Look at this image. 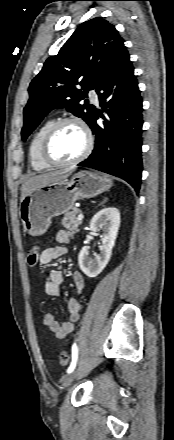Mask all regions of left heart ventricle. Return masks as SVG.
<instances>
[{
  "instance_id": "b2bd125f",
  "label": "left heart ventricle",
  "mask_w": 174,
  "mask_h": 440,
  "mask_svg": "<svg viewBox=\"0 0 174 440\" xmlns=\"http://www.w3.org/2000/svg\"><path fill=\"white\" fill-rule=\"evenodd\" d=\"M85 135L75 123L62 125L55 133L50 144L51 157L59 162L76 158L85 146Z\"/></svg>"
}]
</instances>
